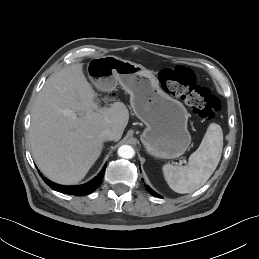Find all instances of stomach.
<instances>
[{"label": "stomach", "mask_w": 259, "mask_h": 259, "mask_svg": "<svg viewBox=\"0 0 259 259\" xmlns=\"http://www.w3.org/2000/svg\"><path fill=\"white\" fill-rule=\"evenodd\" d=\"M87 71L99 89L111 91L119 83L130 94L134 113L146 125L140 138L150 155L173 159L185 153L191 143L189 114L181 102L160 88L151 70L108 55L91 59Z\"/></svg>", "instance_id": "obj_1"}]
</instances>
